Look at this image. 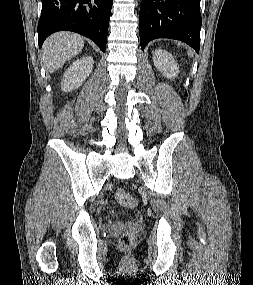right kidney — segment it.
<instances>
[{
  "label": "right kidney",
  "instance_id": "1",
  "mask_svg": "<svg viewBox=\"0 0 253 285\" xmlns=\"http://www.w3.org/2000/svg\"><path fill=\"white\" fill-rule=\"evenodd\" d=\"M94 60L91 56L82 57L73 62L63 75L61 89L64 92L79 88L93 69Z\"/></svg>",
  "mask_w": 253,
  "mask_h": 285
}]
</instances>
